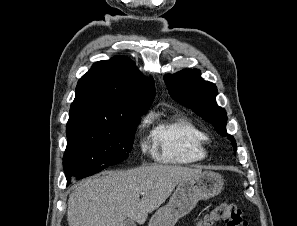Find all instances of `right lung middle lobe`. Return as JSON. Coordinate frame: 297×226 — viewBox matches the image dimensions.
Returning <instances> with one entry per match:
<instances>
[{
    "mask_svg": "<svg viewBox=\"0 0 297 226\" xmlns=\"http://www.w3.org/2000/svg\"><path fill=\"white\" fill-rule=\"evenodd\" d=\"M148 108L129 107L122 112L117 123L68 122V140L63 158L66 179L101 171L128 158L140 117Z\"/></svg>",
    "mask_w": 297,
    "mask_h": 226,
    "instance_id": "right-lung-middle-lobe-1",
    "label": "right lung middle lobe"
}]
</instances>
